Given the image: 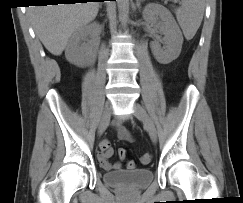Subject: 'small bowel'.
Masks as SVG:
<instances>
[{
	"instance_id": "c3829d8e",
	"label": "small bowel",
	"mask_w": 243,
	"mask_h": 203,
	"mask_svg": "<svg viewBox=\"0 0 243 203\" xmlns=\"http://www.w3.org/2000/svg\"><path fill=\"white\" fill-rule=\"evenodd\" d=\"M114 129L117 133V136L120 140L131 141L132 137L129 131L120 125L119 123L114 124ZM99 152L97 154L98 161L100 166L105 170H119L121 169V164L119 162L111 163L110 158L113 155V148L111 147L110 142L107 139H104L100 142ZM123 158V157H121Z\"/></svg>"
}]
</instances>
